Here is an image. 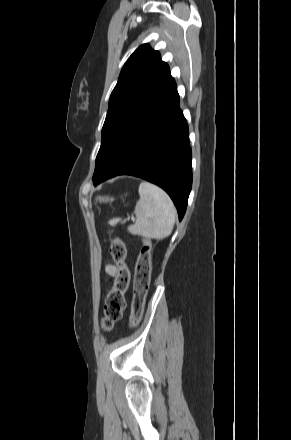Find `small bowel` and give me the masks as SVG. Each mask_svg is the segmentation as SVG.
<instances>
[{
    "instance_id": "small-bowel-1",
    "label": "small bowel",
    "mask_w": 291,
    "mask_h": 440,
    "mask_svg": "<svg viewBox=\"0 0 291 440\" xmlns=\"http://www.w3.org/2000/svg\"><path fill=\"white\" fill-rule=\"evenodd\" d=\"M105 272H106L108 275H115V273H116V267H115L114 265H112V264H106V266H105Z\"/></svg>"
}]
</instances>
